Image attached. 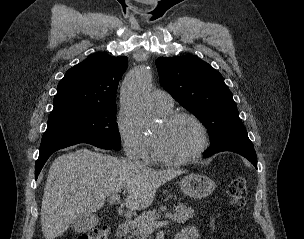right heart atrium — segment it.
<instances>
[{
	"label": "right heart atrium",
	"instance_id": "d8ad5b80",
	"mask_svg": "<svg viewBox=\"0 0 304 239\" xmlns=\"http://www.w3.org/2000/svg\"><path fill=\"white\" fill-rule=\"evenodd\" d=\"M116 125L125 153L132 158L146 159L150 153V139L137 128L126 110H119Z\"/></svg>",
	"mask_w": 304,
	"mask_h": 239
}]
</instances>
